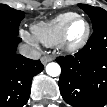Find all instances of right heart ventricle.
Returning <instances> with one entry per match:
<instances>
[{"mask_svg": "<svg viewBox=\"0 0 107 107\" xmlns=\"http://www.w3.org/2000/svg\"><path fill=\"white\" fill-rule=\"evenodd\" d=\"M75 15L74 12H65L50 20L33 24L31 31L34 39L46 46L57 44L66 23Z\"/></svg>", "mask_w": 107, "mask_h": 107, "instance_id": "obj_1", "label": "right heart ventricle"}]
</instances>
